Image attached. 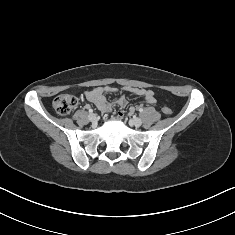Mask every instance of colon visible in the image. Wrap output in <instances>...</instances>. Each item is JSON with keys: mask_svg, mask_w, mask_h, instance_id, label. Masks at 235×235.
<instances>
[{"mask_svg": "<svg viewBox=\"0 0 235 235\" xmlns=\"http://www.w3.org/2000/svg\"><path fill=\"white\" fill-rule=\"evenodd\" d=\"M77 105V100L70 94L58 95L53 101V107L57 114L61 116L68 115ZM164 114L169 115L172 113L171 109L167 106L162 108Z\"/></svg>", "mask_w": 235, "mask_h": 235, "instance_id": "obj_1", "label": "colon"}]
</instances>
